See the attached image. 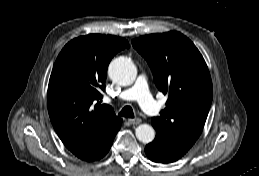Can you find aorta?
<instances>
[{"label":"aorta","instance_id":"obj_1","mask_svg":"<svg viewBox=\"0 0 259 176\" xmlns=\"http://www.w3.org/2000/svg\"><path fill=\"white\" fill-rule=\"evenodd\" d=\"M108 74L110 79L119 85L129 86L135 81L137 70L130 59L119 57L111 61ZM135 134L137 139L144 144L152 142L155 138V130L148 124L139 125Z\"/></svg>","mask_w":259,"mask_h":176}]
</instances>
